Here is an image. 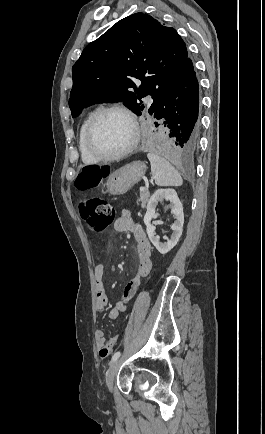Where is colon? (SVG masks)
<instances>
[{
  "instance_id": "1",
  "label": "colon",
  "mask_w": 265,
  "mask_h": 434,
  "mask_svg": "<svg viewBox=\"0 0 265 434\" xmlns=\"http://www.w3.org/2000/svg\"><path fill=\"white\" fill-rule=\"evenodd\" d=\"M106 171L107 166L105 164H88L87 168H79L78 180L75 182L76 189H97V178ZM77 210L89 232L93 235L102 233L116 219L112 203L100 197H91L80 201L77 204ZM116 341L117 339L114 337L101 347L98 351L100 360H107L112 354Z\"/></svg>"
}]
</instances>
